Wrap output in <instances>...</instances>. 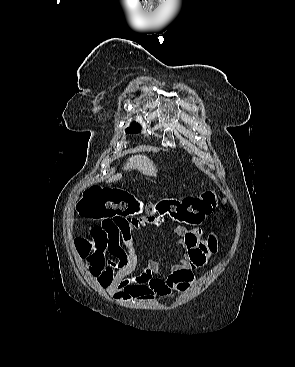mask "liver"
<instances>
[{
    "label": "liver",
    "instance_id": "obj_1",
    "mask_svg": "<svg viewBox=\"0 0 295 367\" xmlns=\"http://www.w3.org/2000/svg\"><path fill=\"white\" fill-rule=\"evenodd\" d=\"M125 170L137 169L139 172L146 176H156L157 169L153 163L147 156L145 155H135L128 159L127 163L124 166ZM122 178L121 173H117L112 176L108 182H116Z\"/></svg>",
    "mask_w": 295,
    "mask_h": 367
}]
</instances>
